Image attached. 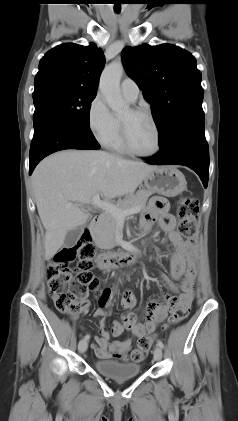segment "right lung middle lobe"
<instances>
[{"label": "right lung middle lobe", "mask_w": 238, "mask_h": 421, "mask_svg": "<svg viewBox=\"0 0 238 421\" xmlns=\"http://www.w3.org/2000/svg\"><path fill=\"white\" fill-rule=\"evenodd\" d=\"M96 94L56 84L35 87L33 124L36 126L43 117L53 116L87 136L94 137L89 126V112Z\"/></svg>", "instance_id": "dd1d6c3e"}]
</instances>
